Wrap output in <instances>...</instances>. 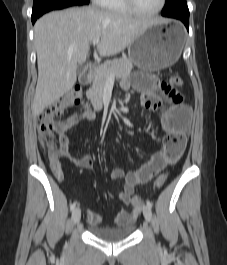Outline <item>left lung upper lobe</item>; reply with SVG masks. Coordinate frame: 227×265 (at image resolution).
I'll return each instance as SVG.
<instances>
[{"instance_id":"1","label":"left lung upper lobe","mask_w":227,"mask_h":265,"mask_svg":"<svg viewBox=\"0 0 227 265\" xmlns=\"http://www.w3.org/2000/svg\"><path fill=\"white\" fill-rule=\"evenodd\" d=\"M162 15L167 17L189 16L186 0H166Z\"/></svg>"}]
</instances>
